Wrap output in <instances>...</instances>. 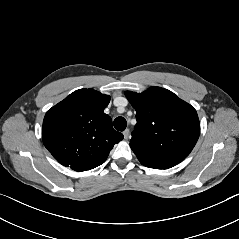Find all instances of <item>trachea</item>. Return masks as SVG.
<instances>
[{
	"label": "trachea",
	"instance_id": "1",
	"mask_svg": "<svg viewBox=\"0 0 239 239\" xmlns=\"http://www.w3.org/2000/svg\"><path fill=\"white\" fill-rule=\"evenodd\" d=\"M126 126H127V122L124 117L119 116L114 120V127L116 130L124 131L126 129Z\"/></svg>",
	"mask_w": 239,
	"mask_h": 239
}]
</instances>
